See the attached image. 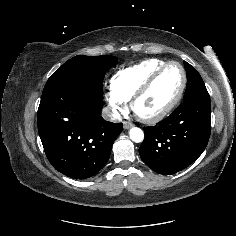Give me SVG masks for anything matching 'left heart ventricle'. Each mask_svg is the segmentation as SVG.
<instances>
[{
	"mask_svg": "<svg viewBox=\"0 0 236 236\" xmlns=\"http://www.w3.org/2000/svg\"><path fill=\"white\" fill-rule=\"evenodd\" d=\"M181 83L182 73L179 67L175 65L168 67L150 91L139 100L137 110L146 116L160 112L177 95Z\"/></svg>",
	"mask_w": 236,
	"mask_h": 236,
	"instance_id": "obj_1",
	"label": "left heart ventricle"
}]
</instances>
